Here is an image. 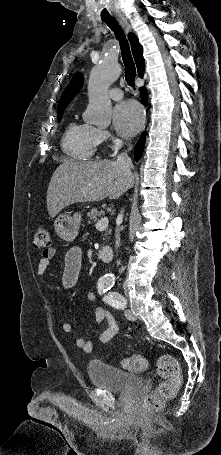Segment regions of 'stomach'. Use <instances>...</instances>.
I'll list each match as a JSON object with an SVG mask.
<instances>
[{"instance_id": "0dacf381", "label": "stomach", "mask_w": 221, "mask_h": 455, "mask_svg": "<svg viewBox=\"0 0 221 455\" xmlns=\"http://www.w3.org/2000/svg\"><path fill=\"white\" fill-rule=\"evenodd\" d=\"M80 221V213H75L73 216L60 214L54 221L55 232L62 240L72 242L78 235Z\"/></svg>"}]
</instances>
